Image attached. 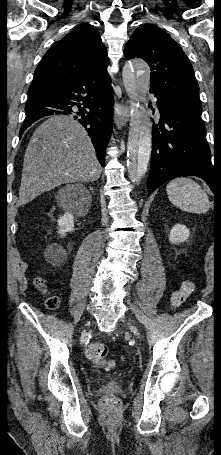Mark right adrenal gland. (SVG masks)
<instances>
[{
    "instance_id": "obj_1",
    "label": "right adrenal gland",
    "mask_w": 221,
    "mask_h": 455,
    "mask_svg": "<svg viewBox=\"0 0 221 455\" xmlns=\"http://www.w3.org/2000/svg\"><path fill=\"white\" fill-rule=\"evenodd\" d=\"M90 189H91V190H92V192H93V188H91V187H90Z\"/></svg>"
}]
</instances>
